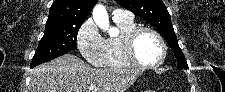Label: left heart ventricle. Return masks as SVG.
<instances>
[{
	"label": "left heart ventricle",
	"instance_id": "b2bd125f",
	"mask_svg": "<svg viewBox=\"0 0 225 92\" xmlns=\"http://www.w3.org/2000/svg\"><path fill=\"white\" fill-rule=\"evenodd\" d=\"M135 52L143 63L152 64L160 60L162 48L159 41L153 34L149 32H142L137 37Z\"/></svg>",
	"mask_w": 225,
	"mask_h": 92
}]
</instances>
